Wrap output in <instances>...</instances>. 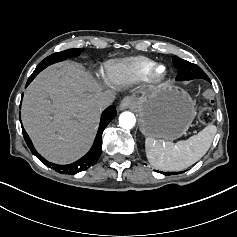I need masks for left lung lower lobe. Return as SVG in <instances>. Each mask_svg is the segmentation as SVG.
<instances>
[{"instance_id":"left-lung-lower-lobe-1","label":"left lung lower lobe","mask_w":237,"mask_h":237,"mask_svg":"<svg viewBox=\"0 0 237 237\" xmlns=\"http://www.w3.org/2000/svg\"><path fill=\"white\" fill-rule=\"evenodd\" d=\"M162 173H163V172H162ZM163 174H164V175H170L169 173H166V172H165V173H163ZM175 174H176V173H175Z\"/></svg>"}]
</instances>
